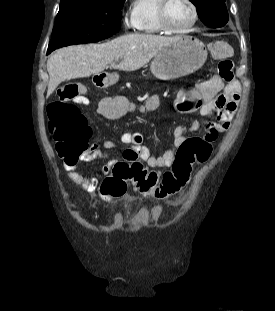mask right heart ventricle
Here are the masks:
<instances>
[{
    "label": "right heart ventricle",
    "mask_w": 275,
    "mask_h": 311,
    "mask_svg": "<svg viewBox=\"0 0 275 311\" xmlns=\"http://www.w3.org/2000/svg\"><path fill=\"white\" fill-rule=\"evenodd\" d=\"M158 4L159 0L133 1L131 16L138 32L146 35L163 33L157 17Z\"/></svg>",
    "instance_id": "obj_1"
}]
</instances>
